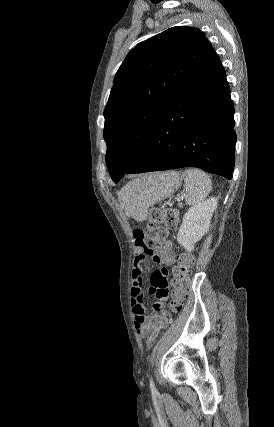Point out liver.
<instances>
[{
  "mask_svg": "<svg viewBox=\"0 0 274 427\" xmlns=\"http://www.w3.org/2000/svg\"><path fill=\"white\" fill-rule=\"evenodd\" d=\"M118 196H119V202H120V204H121L122 208H124V210H126L125 206H123V204H122V200H121V192H118Z\"/></svg>",
  "mask_w": 274,
  "mask_h": 427,
  "instance_id": "6515ba94",
  "label": "liver"
}]
</instances>
